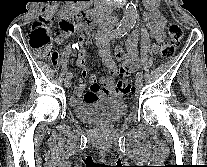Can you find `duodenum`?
<instances>
[{"instance_id": "1", "label": "duodenum", "mask_w": 207, "mask_h": 167, "mask_svg": "<svg viewBox=\"0 0 207 167\" xmlns=\"http://www.w3.org/2000/svg\"><path fill=\"white\" fill-rule=\"evenodd\" d=\"M84 23L87 27L94 26L98 22V12L95 9H89L83 14ZM109 21L107 24H110Z\"/></svg>"}]
</instances>
